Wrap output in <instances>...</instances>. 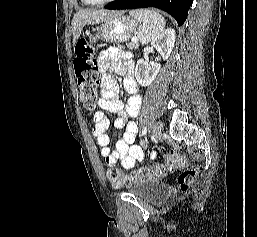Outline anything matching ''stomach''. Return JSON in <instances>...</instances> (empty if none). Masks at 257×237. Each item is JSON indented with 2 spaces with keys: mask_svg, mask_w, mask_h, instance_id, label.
<instances>
[{
  "mask_svg": "<svg viewBox=\"0 0 257 237\" xmlns=\"http://www.w3.org/2000/svg\"><path fill=\"white\" fill-rule=\"evenodd\" d=\"M137 22L130 16L114 15L94 28L90 34V43L97 42L122 43L126 42L135 33Z\"/></svg>",
  "mask_w": 257,
  "mask_h": 237,
  "instance_id": "stomach-1",
  "label": "stomach"
}]
</instances>
